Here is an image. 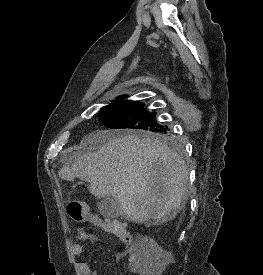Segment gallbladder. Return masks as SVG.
Here are the masks:
<instances>
[{
    "label": "gallbladder",
    "mask_w": 263,
    "mask_h": 275,
    "mask_svg": "<svg viewBox=\"0 0 263 275\" xmlns=\"http://www.w3.org/2000/svg\"><path fill=\"white\" fill-rule=\"evenodd\" d=\"M98 209L102 216L110 219L117 218L124 213L121 204L110 196L100 199Z\"/></svg>",
    "instance_id": "gallbladder-1"
}]
</instances>
